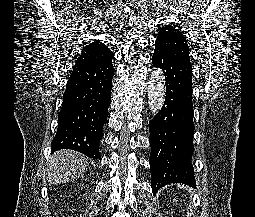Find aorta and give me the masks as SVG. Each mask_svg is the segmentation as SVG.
<instances>
[{
    "label": "aorta",
    "mask_w": 255,
    "mask_h": 217,
    "mask_svg": "<svg viewBox=\"0 0 255 217\" xmlns=\"http://www.w3.org/2000/svg\"><path fill=\"white\" fill-rule=\"evenodd\" d=\"M165 77L160 69L153 70L148 81V104L151 112L156 114L165 102Z\"/></svg>",
    "instance_id": "762f6f07"
}]
</instances>
